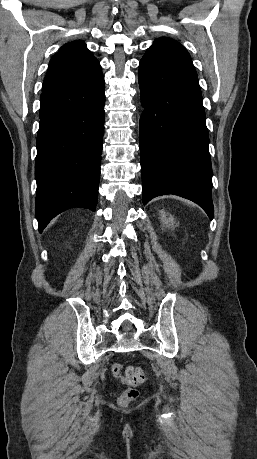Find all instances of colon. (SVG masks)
Wrapping results in <instances>:
<instances>
[{"mask_svg": "<svg viewBox=\"0 0 257 459\" xmlns=\"http://www.w3.org/2000/svg\"><path fill=\"white\" fill-rule=\"evenodd\" d=\"M111 372L115 378L122 380L129 386L119 397V405L127 406L135 401L139 396L136 386L145 380V373L143 370L140 367L129 366L123 371V367L120 364L114 363L111 366Z\"/></svg>", "mask_w": 257, "mask_h": 459, "instance_id": "1", "label": "colon"}]
</instances>
